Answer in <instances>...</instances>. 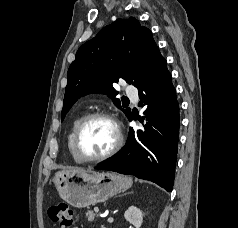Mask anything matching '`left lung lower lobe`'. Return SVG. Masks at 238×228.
Here are the masks:
<instances>
[{
	"label": "left lung lower lobe",
	"mask_w": 238,
	"mask_h": 228,
	"mask_svg": "<svg viewBox=\"0 0 238 228\" xmlns=\"http://www.w3.org/2000/svg\"><path fill=\"white\" fill-rule=\"evenodd\" d=\"M141 103L148 104L144 114L149 123L145 133L138 132L139 144L132 128L123 149L95 167L152 181L166 191L173 188L177 142L179 139V105L167 61L157 48L146 63L138 84ZM143 106V105H142ZM135 119L134 114L128 117Z\"/></svg>",
	"instance_id": "0a47b994"
}]
</instances>
